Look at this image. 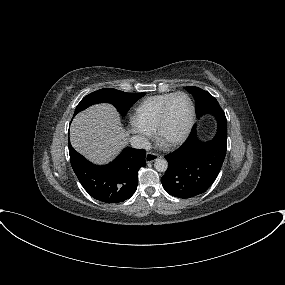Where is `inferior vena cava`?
Returning <instances> with one entry per match:
<instances>
[{"instance_id":"inferior-vena-cava-1","label":"inferior vena cava","mask_w":285,"mask_h":285,"mask_svg":"<svg viewBox=\"0 0 285 285\" xmlns=\"http://www.w3.org/2000/svg\"><path fill=\"white\" fill-rule=\"evenodd\" d=\"M130 143L134 148L138 149L150 150L151 148L150 142L144 136H139V135L133 136L130 139Z\"/></svg>"}]
</instances>
